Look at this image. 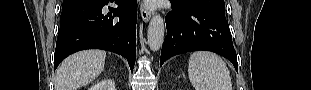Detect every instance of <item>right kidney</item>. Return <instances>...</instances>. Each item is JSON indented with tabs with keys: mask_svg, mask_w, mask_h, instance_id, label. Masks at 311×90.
<instances>
[{
	"mask_svg": "<svg viewBox=\"0 0 311 90\" xmlns=\"http://www.w3.org/2000/svg\"><path fill=\"white\" fill-rule=\"evenodd\" d=\"M89 90H115L114 82L112 80H104L89 88Z\"/></svg>",
	"mask_w": 311,
	"mask_h": 90,
	"instance_id": "ca27d5eb",
	"label": "right kidney"
}]
</instances>
